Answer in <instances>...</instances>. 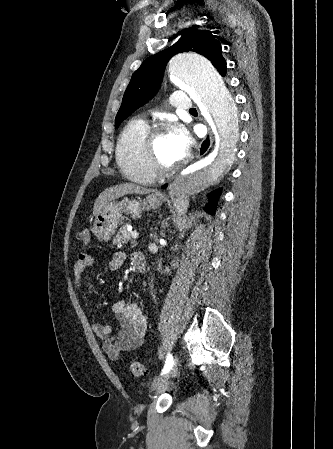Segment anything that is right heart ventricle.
Returning a JSON list of instances; mask_svg holds the SVG:
<instances>
[{
  "label": "right heart ventricle",
  "instance_id": "1",
  "mask_svg": "<svg viewBox=\"0 0 333 449\" xmlns=\"http://www.w3.org/2000/svg\"><path fill=\"white\" fill-rule=\"evenodd\" d=\"M148 129V124L144 120H131L122 130L115 149L116 161L124 176L142 184H149L155 180L146 166L142 150Z\"/></svg>",
  "mask_w": 333,
  "mask_h": 449
}]
</instances>
